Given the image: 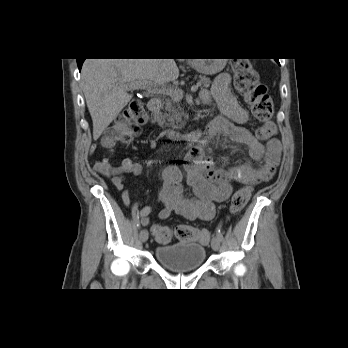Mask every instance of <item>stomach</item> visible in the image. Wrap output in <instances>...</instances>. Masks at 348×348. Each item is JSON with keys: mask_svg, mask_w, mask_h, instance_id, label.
I'll use <instances>...</instances> for the list:
<instances>
[{"mask_svg": "<svg viewBox=\"0 0 348 348\" xmlns=\"http://www.w3.org/2000/svg\"><path fill=\"white\" fill-rule=\"evenodd\" d=\"M226 59H194L193 67L201 74L214 75L226 65Z\"/></svg>", "mask_w": 348, "mask_h": 348, "instance_id": "1", "label": "stomach"}]
</instances>
